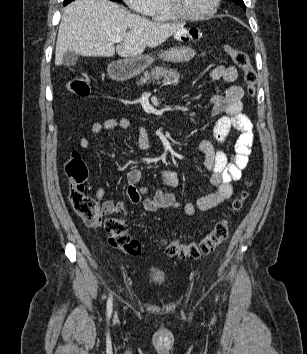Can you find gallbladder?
<instances>
[{
    "label": "gallbladder",
    "instance_id": "bac80fb5",
    "mask_svg": "<svg viewBox=\"0 0 307 354\" xmlns=\"http://www.w3.org/2000/svg\"><path fill=\"white\" fill-rule=\"evenodd\" d=\"M78 54L75 52L68 51L62 57V64L65 66H73L77 63Z\"/></svg>",
    "mask_w": 307,
    "mask_h": 354
}]
</instances>
